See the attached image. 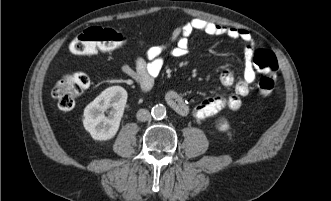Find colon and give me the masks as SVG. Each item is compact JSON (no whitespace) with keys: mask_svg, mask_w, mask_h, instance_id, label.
Masks as SVG:
<instances>
[{"mask_svg":"<svg viewBox=\"0 0 331 201\" xmlns=\"http://www.w3.org/2000/svg\"><path fill=\"white\" fill-rule=\"evenodd\" d=\"M126 37L111 28L94 26L87 28L73 39L70 50L77 55H93L98 52H110L122 47ZM253 61L261 71L258 80V92L262 97L270 95L274 89L275 77L278 69L273 52L258 50ZM89 77L84 72H72L63 75L55 84L52 94L58 106L63 110L72 109L80 95L88 88Z\"/></svg>","mask_w":331,"mask_h":201,"instance_id":"5ec220e1","label":"colon"}]
</instances>
